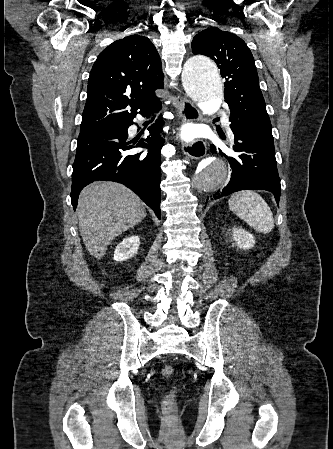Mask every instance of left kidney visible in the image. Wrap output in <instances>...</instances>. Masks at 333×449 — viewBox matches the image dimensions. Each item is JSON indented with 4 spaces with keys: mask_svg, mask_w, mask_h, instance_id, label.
I'll list each match as a JSON object with an SVG mask.
<instances>
[{
    "mask_svg": "<svg viewBox=\"0 0 333 449\" xmlns=\"http://www.w3.org/2000/svg\"><path fill=\"white\" fill-rule=\"evenodd\" d=\"M232 236L235 245L240 249H250L255 245L254 236L240 227L232 229Z\"/></svg>",
    "mask_w": 333,
    "mask_h": 449,
    "instance_id": "left-kidney-1",
    "label": "left kidney"
}]
</instances>
